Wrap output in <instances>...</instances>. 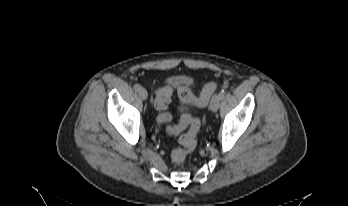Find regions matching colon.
I'll use <instances>...</instances> for the list:
<instances>
[{
    "mask_svg": "<svg viewBox=\"0 0 348 206\" xmlns=\"http://www.w3.org/2000/svg\"><path fill=\"white\" fill-rule=\"evenodd\" d=\"M217 89L215 82L207 83L199 97H194L191 90L187 87L178 89V95L182 102L191 103L197 107L205 106L211 95ZM172 90L170 88L161 89L155 99V107L158 111V119L165 123L170 121L171 115L167 112V106L170 101ZM188 128V131L179 137L181 147L174 149L171 152V160L175 164H182L186 156L192 152L196 146V136L200 128L199 120L191 117L188 114L182 116L178 126L169 128L168 132L172 135L178 134L181 130Z\"/></svg>",
    "mask_w": 348,
    "mask_h": 206,
    "instance_id": "colon-1",
    "label": "colon"
}]
</instances>
